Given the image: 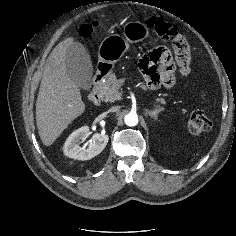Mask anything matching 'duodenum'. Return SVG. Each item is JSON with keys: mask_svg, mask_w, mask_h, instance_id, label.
I'll return each mask as SVG.
<instances>
[{"mask_svg": "<svg viewBox=\"0 0 236 236\" xmlns=\"http://www.w3.org/2000/svg\"><path fill=\"white\" fill-rule=\"evenodd\" d=\"M105 73H106L105 68L104 66H102L93 78L92 88L89 93V99L94 105H98L101 101L98 87L101 84Z\"/></svg>", "mask_w": 236, "mask_h": 236, "instance_id": "410a0bca", "label": "duodenum"}]
</instances>
